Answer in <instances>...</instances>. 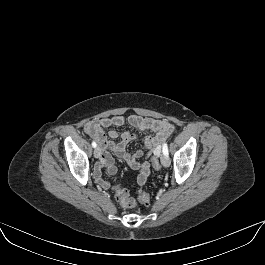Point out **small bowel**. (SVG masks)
<instances>
[{"instance_id":"small-bowel-1","label":"small bowel","mask_w":265,"mask_h":265,"mask_svg":"<svg viewBox=\"0 0 265 265\" xmlns=\"http://www.w3.org/2000/svg\"><path fill=\"white\" fill-rule=\"evenodd\" d=\"M126 123L143 132L154 133L153 136L147 135L141 139L143 150H138L134 154H129L126 151V147L131 141L137 138L136 135L129 131L119 134L116 130H110L108 136L111 139L121 138L119 142H115L108 140L103 130V128L107 127H120ZM84 130L91 138L95 139L103 149L100 163L95 168V178L103 189H107L109 183L102 179L101 169L103 167L107 168L110 175H114L117 171L114 160L107 152V149H110L118 158L124 160L130 168L139 171L137 184L141 187L146 183L150 174V163L147 160H141V158L144 155L149 156L152 153L158 152L160 144L172 134L174 126L164 119L139 115H131L129 117L115 115L91 120L85 124Z\"/></svg>"}]
</instances>
